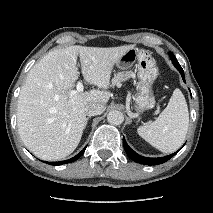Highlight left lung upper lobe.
Masks as SVG:
<instances>
[{"label":"left lung upper lobe","mask_w":213,"mask_h":213,"mask_svg":"<svg viewBox=\"0 0 213 213\" xmlns=\"http://www.w3.org/2000/svg\"><path fill=\"white\" fill-rule=\"evenodd\" d=\"M169 55H170V58H171V60H172L173 65H174L177 69L182 68V67L180 66V64L178 63V61L176 60V57L174 56V54L170 52Z\"/></svg>","instance_id":"left-lung-upper-lobe-1"}]
</instances>
